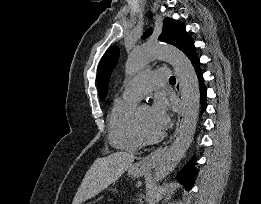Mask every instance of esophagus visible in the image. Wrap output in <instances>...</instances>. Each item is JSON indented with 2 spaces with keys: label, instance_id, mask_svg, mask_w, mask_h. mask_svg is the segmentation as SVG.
Returning a JSON list of instances; mask_svg holds the SVG:
<instances>
[{
  "label": "esophagus",
  "instance_id": "1",
  "mask_svg": "<svg viewBox=\"0 0 261 204\" xmlns=\"http://www.w3.org/2000/svg\"><path fill=\"white\" fill-rule=\"evenodd\" d=\"M176 91H177V95H178V102H179V106H180V110L178 112V121L176 124V130L174 133L175 137L182 125L183 122V116H184V112H183V95H182V89H181V84L179 82V80L177 79V83H176ZM167 147H160L155 149L154 151H152L150 154H148L146 157H144L140 162H139V166L143 169H152L154 168L160 161L162 155L164 154L165 150Z\"/></svg>",
  "mask_w": 261,
  "mask_h": 204
}]
</instances>
